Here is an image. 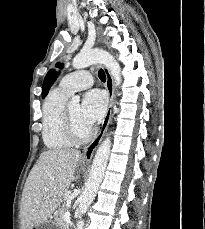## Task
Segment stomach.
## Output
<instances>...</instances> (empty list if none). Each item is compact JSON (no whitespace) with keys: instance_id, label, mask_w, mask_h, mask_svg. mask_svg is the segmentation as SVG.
Returning a JSON list of instances; mask_svg holds the SVG:
<instances>
[{"instance_id":"0dacf381","label":"stomach","mask_w":205,"mask_h":229,"mask_svg":"<svg viewBox=\"0 0 205 229\" xmlns=\"http://www.w3.org/2000/svg\"><path fill=\"white\" fill-rule=\"evenodd\" d=\"M35 229H59V226L56 224L55 220L49 218L44 223L36 226Z\"/></svg>"}]
</instances>
